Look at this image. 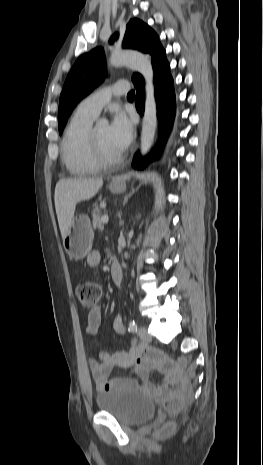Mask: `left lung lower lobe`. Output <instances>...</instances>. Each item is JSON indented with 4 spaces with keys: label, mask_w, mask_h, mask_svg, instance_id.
I'll return each mask as SVG.
<instances>
[{
    "label": "left lung lower lobe",
    "mask_w": 263,
    "mask_h": 465,
    "mask_svg": "<svg viewBox=\"0 0 263 465\" xmlns=\"http://www.w3.org/2000/svg\"><path fill=\"white\" fill-rule=\"evenodd\" d=\"M152 65L154 69L155 98L157 101L158 117L160 119L161 141L165 142L172 127L175 116V93L173 79L170 74V64L166 59L165 50L158 47L152 54ZM136 88L135 105L137 111L144 113V80L140 74L132 78ZM151 157L142 158L136 154L133 167L143 169L151 161Z\"/></svg>",
    "instance_id": "1"
}]
</instances>
